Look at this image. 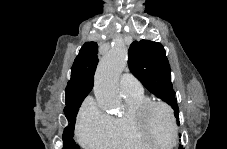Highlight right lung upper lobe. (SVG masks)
Instances as JSON below:
<instances>
[{"label":"right lung upper lobe","mask_w":227,"mask_h":149,"mask_svg":"<svg viewBox=\"0 0 227 149\" xmlns=\"http://www.w3.org/2000/svg\"><path fill=\"white\" fill-rule=\"evenodd\" d=\"M98 45L86 42L71 68V79L65 89L66 107L73 106L90 93L94 83V73L98 63Z\"/></svg>","instance_id":"cb5924a9"}]
</instances>
